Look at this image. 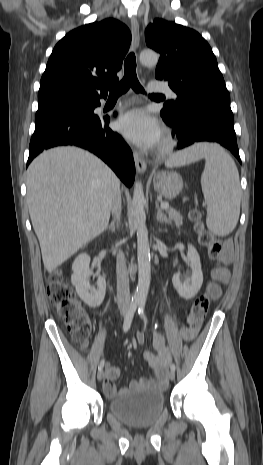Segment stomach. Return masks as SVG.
Segmentation results:
<instances>
[{"mask_svg":"<svg viewBox=\"0 0 263 465\" xmlns=\"http://www.w3.org/2000/svg\"><path fill=\"white\" fill-rule=\"evenodd\" d=\"M153 186L154 190L166 199H173L181 192L183 180L175 172L162 171L154 173Z\"/></svg>","mask_w":263,"mask_h":465,"instance_id":"1","label":"stomach"}]
</instances>
